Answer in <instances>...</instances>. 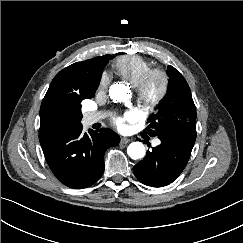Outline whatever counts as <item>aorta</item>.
<instances>
[{"label": "aorta", "mask_w": 243, "mask_h": 243, "mask_svg": "<svg viewBox=\"0 0 243 243\" xmlns=\"http://www.w3.org/2000/svg\"><path fill=\"white\" fill-rule=\"evenodd\" d=\"M109 95L115 102L126 101L130 97L127 87L122 84H113L109 89ZM127 153L131 159L137 160L145 156V147L141 142H132L127 148Z\"/></svg>", "instance_id": "aorta-1"}]
</instances>
